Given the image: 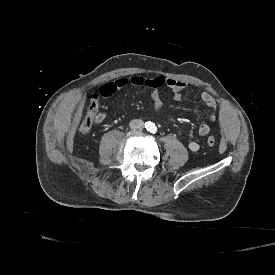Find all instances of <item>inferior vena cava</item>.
<instances>
[{"label": "inferior vena cava", "mask_w": 275, "mask_h": 275, "mask_svg": "<svg viewBox=\"0 0 275 275\" xmlns=\"http://www.w3.org/2000/svg\"><path fill=\"white\" fill-rule=\"evenodd\" d=\"M129 126L131 129H141L144 127V122L141 119H133L130 121Z\"/></svg>", "instance_id": "inferior-vena-cava-1"}]
</instances>
